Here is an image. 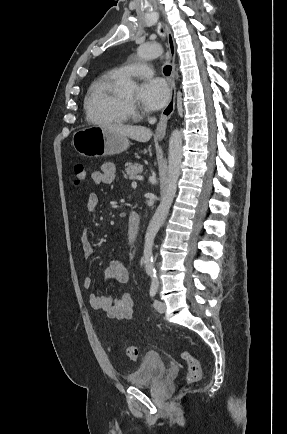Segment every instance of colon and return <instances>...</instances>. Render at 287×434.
<instances>
[{
  "instance_id": "5ec220e1",
  "label": "colon",
  "mask_w": 287,
  "mask_h": 434,
  "mask_svg": "<svg viewBox=\"0 0 287 434\" xmlns=\"http://www.w3.org/2000/svg\"><path fill=\"white\" fill-rule=\"evenodd\" d=\"M86 177V170L82 163H76L73 167V185L80 186ZM125 355L131 359L136 360L138 358V349L135 346H128L125 349ZM181 357L188 364V374L186 377L187 384H195L200 381L202 377V371L199 360L188 351H182Z\"/></svg>"
}]
</instances>
